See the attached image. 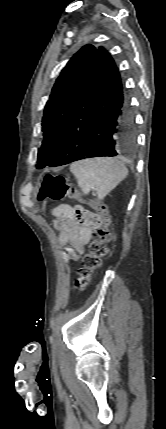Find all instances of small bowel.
Returning <instances> with one entry per match:
<instances>
[{
    "instance_id": "small-bowel-1",
    "label": "small bowel",
    "mask_w": 166,
    "mask_h": 429,
    "mask_svg": "<svg viewBox=\"0 0 166 429\" xmlns=\"http://www.w3.org/2000/svg\"><path fill=\"white\" fill-rule=\"evenodd\" d=\"M52 213L55 217L53 224L58 232V241L66 246L64 256L68 260H79L85 254L92 231L101 225L99 215L81 206L67 204L56 206Z\"/></svg>"
}]
</instances>
